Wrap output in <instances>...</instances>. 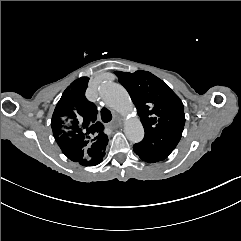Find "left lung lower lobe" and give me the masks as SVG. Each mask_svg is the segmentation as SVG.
Listing matches in <instances>:
<instances>
[{
	"mask_svg": "<svg viewBox=\"0 0 241 241\" xmlns=\"http://www.w3.org/2000/svg\"><path fill=\"white\" fill-rule=\"evenodd\" d=\"M182 131H161L156 137L134 144V152L144 161L155 163L166 159L178 144Z\"/></svg>",
	"mask_w": 241,
	"mask_h": 241,
	"instance_id": "obj_1",
	"label": "left lung lower lobe"
}]
</instances>
